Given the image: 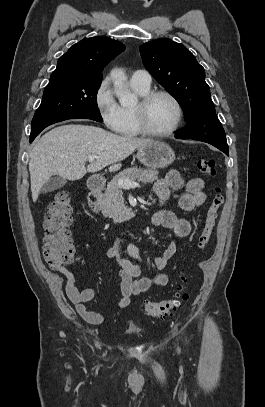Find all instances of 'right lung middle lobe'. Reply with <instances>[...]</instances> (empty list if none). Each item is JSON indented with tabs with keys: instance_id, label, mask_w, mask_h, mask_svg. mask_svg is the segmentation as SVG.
Segmentation results:
<instances>
[{
	"instance_id": "1",
	"label": "right lung middle lobe",
	"mask_w": 265,
	"mask_h": 407,
	"mask_svg": "<svg viewBox=\"0 0 265 407\" xmlns=\"http://www.w3.org/2000/svg\"><path fill=\"white\" fill-rule=\"evenodd\" d=\"M100 80L76 78L61 74L50 77L42 102L31 123L30 137L44 128L67 119L88 118L102 122L97 106Z\"/></svg>"
}]
</instances>
